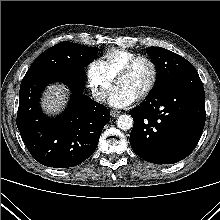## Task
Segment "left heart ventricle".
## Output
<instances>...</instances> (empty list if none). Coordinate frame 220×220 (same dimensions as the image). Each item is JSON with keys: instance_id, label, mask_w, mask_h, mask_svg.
I'll return each instance as SVG.
<instances>
[{"instance_id": "left-heart-ventricle-1", "label": "left heart ventricle", "mask_w": 220, "mask_h": 220, "mask_svg": "<svg viewBox=\"0 0 220 220\" xmlns=\"http://www.w3.org/2000/svg\"><path fill=\"white\" fill-rule=\"evenodd\" d=\"M151 73L150 65L145 61H140L131 72L118 78L117 84L127 88L138 97L149 84Z\"/></svg>"}]
</instances>
